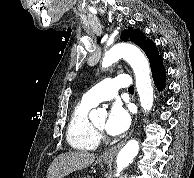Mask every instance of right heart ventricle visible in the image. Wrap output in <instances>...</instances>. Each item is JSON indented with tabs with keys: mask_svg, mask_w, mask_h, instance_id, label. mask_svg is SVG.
I'll list each match as a JSON object with an SVG mask.
<instances>
[{
	"mask_svg": "<svg viewBox=\"0 0 194 178\" xmlns=\"http://www.w3.org/2000/svg\"><path fill=\"white\" fill-rule=\"evenodd\" d=\"M93 106L82 99L73 108L66 130V139L74 149L94 150L99 145V135L88 118Z\"/></svg>",
	"mask_w": 194,
	"mask_h": 178,
	"instance_id": "1",
	"label": "right heart ventricle"
}]
</instances>
